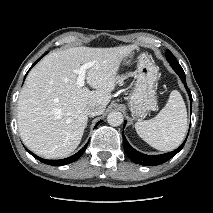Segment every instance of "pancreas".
Masks as SVG:
<instances>
[{
  "label": "pancreas",
  "mask_w": 213,
  "mask_h": 213,
  "mask_svg": "<svg viewBox=\"0 0 213 213\" xmlns=\"http://www.w3.org/2000/svg\"><path fill=\"white\" fill-rule=\"evenodd\" d=\"M127 76H118L117 81L121 83Z\"/></svg>",
  "instance_id": "1"
}]
</instances>
